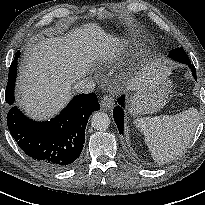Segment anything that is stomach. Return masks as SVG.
I'll list each match as a JSON object with an SVG mask.
<instances>
[{
    "label": "stomach",
    "mask_w": 205,
    "mask_h": 205,
    "mask_svg": "<svg viewBox=\"0 0 205 205\" xmlns=\"http://www.w3.org/2000/svg\"><path fill=\"white\" fill-rule=\"evenodd\" d=\"M172 87V81L166 75L158 80L152 88L131 94L128 99L129 112L136 116L159 111L167 103Z\"/></svg>",
    "instance_id": "stomach-1"
}]
</instances>
